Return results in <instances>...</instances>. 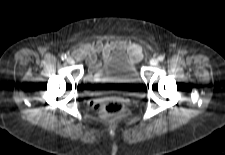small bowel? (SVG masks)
I'll return each instance as SVG.
<instances>
[{
	"instance_id": "1",
	"label": "small bowel",
	"mask_w": 225,
	"mask_h": 155,
	"mask_svg": "<svg viewBox=\"0 0 225 155\" xmlns=\"http://www.w3.org/2000/svg\"><path fill=\"white\" fill-rule=\"evenodd\" d=\"M114 51H126L130 59L135 63L139 62L142 56V46L129 40L84 43L75 49L74 56L76 59L85 60L89 66H92L97 63L98 57L105 61L110 53ZM94 77L99 82L102 78V72L97 71Z\"/></svg>"
}]
</instances>
